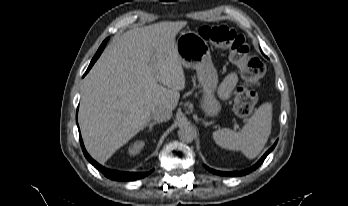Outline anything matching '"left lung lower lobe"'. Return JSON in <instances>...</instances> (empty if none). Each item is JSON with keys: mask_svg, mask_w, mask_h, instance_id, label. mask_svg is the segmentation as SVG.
Masks as SVG:
<instances>
[{"mask_svg": "<svg viewBox=\"0 0 348 206\" xmlns=\"http://www.w3.org/2000/svg\"><path fill=\"white\" fill-rule=\"evenodd\" d=\"M276 143L262 156V158L254 165L252 166L251 168L247 169V170H244V171H235V172H220V171H216V170H213L207 166H205V168L214 173V174H218V175H223V176H241V175H245V174H248L250 173L251 171L255 170L256 168H258L262 162L265 160V158L267 157V155L274 149V147L276 146Z\"/></svg>", "mask_w": 348, "mask_h": 206, "instance_id": "obj_1", "label": "left lung lower lobe"}]
</instances>
